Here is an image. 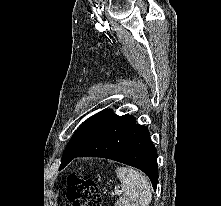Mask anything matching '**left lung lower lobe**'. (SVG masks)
Instances as JSON below:
<instances>
[{
	"label": "left lung lower lobe",
	"instance_id": "obj_1",
	"mask_svg": "<svg viewBox=\"0 0 221 206\" xmlns=\"http://www.w3.org/2000/svg\"><path fill=\"white\" fill-rule=\"evenodd\" d=\"M102 157L112 159L146 173L156 190L158 182L157 152L146 127L136 124L133 116L116 118L90 144L67 160L61 168L75 157Z\"/></svg>",
	"mask_w": 221,
	"mask_h": 206
}]
</instances>
